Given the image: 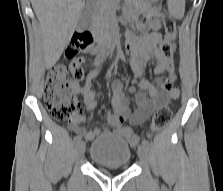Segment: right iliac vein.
<instances>
[{"label": "right iliac vein", "instance_id": "right-iliac-vein-1", "mask_svg": "<svg viewBox=\"0 0 223 191\" xmlns=\"http://www.w3.org/2000/svg\"><path fill=\"white\" fill-rule=\"evenodd\" d=\"M85 151V142L80 140L76 143L75 155L77 157H81Z\"/></svg>", "mask_w": 223, "mask_h": 191}]
</instances>
